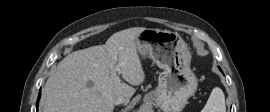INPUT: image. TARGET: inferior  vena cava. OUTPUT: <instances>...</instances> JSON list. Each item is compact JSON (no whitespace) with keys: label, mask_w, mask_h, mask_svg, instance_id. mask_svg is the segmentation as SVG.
<instances>
[{"label":"inferior vena cava","mask_w":270,"mask_h":112,"mask_svg":"<svg viewBox=\"0 0 270 112\" xmlns=\"http://www.w3.org/2000/svg\"><path fill=\"white\" fill-rule=\"evenodd\" d=\"M124 103H126V98L125 97L119 95V96H116L114 98V104L115 105L124 104Z\"/></svg>","instance_id":"inferior-vena-cava-1"}]
</instances>
